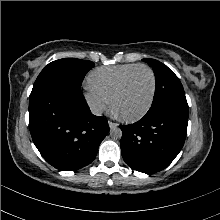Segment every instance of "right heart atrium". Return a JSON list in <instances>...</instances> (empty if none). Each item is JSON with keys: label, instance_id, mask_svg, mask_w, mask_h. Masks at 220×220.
I'll use <instances>...</instances> for the list:
<instances>
[{"label": "right heart atrium", "instance_id": "obj_1", "mask_svg": "<svg viewBox=\"0 0 220 220\" xmlns=\"http://www.w3.org/2000/svg\"><path fill=\"white\" fill-rule=\"evenodd\" d=\"M83 96L90 110L96 115L106 111L110 105V99L89 86L86 88Z\"/></svg>", "mask_w": 220, "mask_h": 220}]
</instances>
